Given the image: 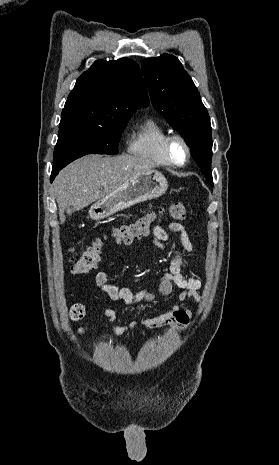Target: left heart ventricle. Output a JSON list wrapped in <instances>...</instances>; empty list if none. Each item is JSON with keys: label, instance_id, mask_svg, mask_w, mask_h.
<instances>
[{"label": "left heart ventricle", "instance_id": "b2bd125f", "mask_svg": "<svg viewBox=\"0 0 279 465\" xmlns=\"http://www.w3.org/2000/svg\"><path fill=\"white\" fill-rule=\"evenodd\" d=\"M172 154L176 161L182 162L185 157L184 147L179 143H174L172 147Z\"/></svg>", "mask_w": 279, "mask_h": 465}]
</instances>
